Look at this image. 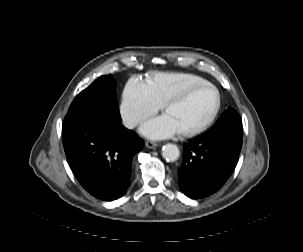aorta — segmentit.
I'll return each mask as SVG.
<instances>
[{
	"label": "aorta",
	"mask_w": 303,
	"mask_h": 252,
	"mask_svg": "<svg viewBox=\"0 0 303 252\" xmlns=\"http://www.w3.org/2000/svg\"><path fill=\"white\" fill-rule=\"evenodd\" d=\"M162 156L167 161H176L180 156L177 145L168 143L162 147Z\"/></svg>",
	"instance_id": "aorta-1"
}]
</instances>
